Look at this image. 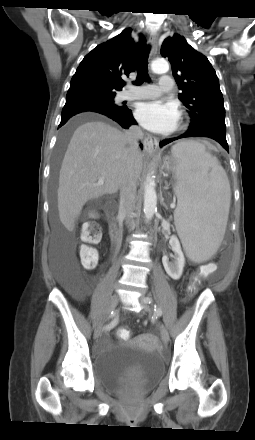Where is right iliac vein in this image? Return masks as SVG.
<instances>
[{
	"label": "right iliac vein",
	"instance_id": "right-iliac-vein-1",
	"mask_svg": "<svg viewBox=\"0 0 255 440\" xmlns=\"http://www.w3.org/2000/svg\"><path fill=\"white\" fill-rule=\"evenodd\" d=\"M118 302H119V296L118 295L115 294V295H113L110 298V300H109V302L107 304L106 310H105L106 316L110 315L111 312L115 310ZM102 329H103V322L101 321V322L98 323V325H97V327L95 329V332H94V337L95 338H98L101 335Z\"/></svg>",
	"mask_w": 255,
	"mask_h": 440
}]
</instances>
